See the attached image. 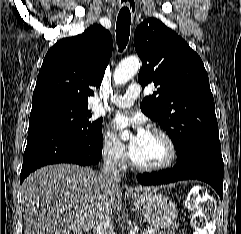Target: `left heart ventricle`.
I'll return each instance as SVG.
<instances>
[{"mask_svg":"<svg viewBox=\"0 0 241 234\" xmlns=\"http://www.w3.org/2000/svg\"><path fill=\"white\" fill-rule=\"evenodd\" d=\"M131 151L134 159L144 165L161 164L167 160L169 155L164 139L149 132L131 146Z\"/></svg>","mask_w":241,"mask_h":234,"instance_id":"obj_1","label":"left heart ventricle"}]
</instances>
